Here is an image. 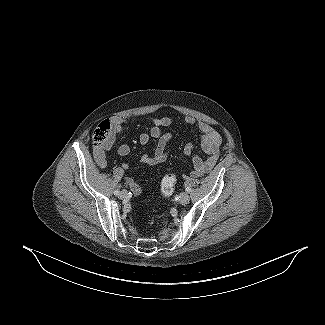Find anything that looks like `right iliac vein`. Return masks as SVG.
Returning <instances> with one entry per match:
<instances>
[{
  "mask_svg": "<svg viewBox=\"0 0 325 325\" xmlns=\"http://www.w3.org/2000/svg\"><path fill=\"white\" fill-rule=\"evenodd\" d=\"M127 196H128V193H127V191H125V190H122V191L119 193V197H120L121 199H125V198H127Z\"/></svg>",
  "mask_w": 325,
  "mask_h": 325,
  "instance_id": "right-iliac-vein-1",
  "label": "right iliac vein"
}]
</instances>
